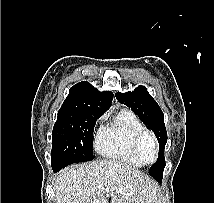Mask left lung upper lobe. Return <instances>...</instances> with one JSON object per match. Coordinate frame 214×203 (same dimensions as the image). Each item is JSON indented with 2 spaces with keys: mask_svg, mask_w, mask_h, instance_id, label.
Returning a JSON list of instances; mask_svg holds the SVG:
<instances>
[{
  "mask_svg": "<svg viewBox=\"0 0 214 203\" xmlns=\"http://www.w3.org/2000/svg\"><path fill=\"white\" fill-rule=\"evenodd\" d=\"M115 95L120 103L131 108L141 121L155 133L159 142V156L157 162L149 169V174L160 182L165 167L164 147L167 142L162 110L144 86H138L133 92H118Z\"/></svg>",
  "mask_w": 214,
  "mask_h": 203,
  "instance_id": "left-lung-upper-lobe-1",
  "label": "left lung upper lobe"
}]
</instances>
